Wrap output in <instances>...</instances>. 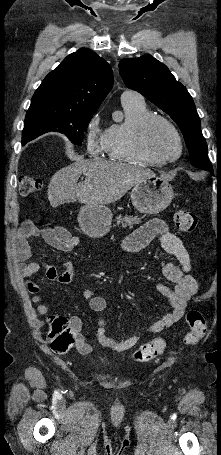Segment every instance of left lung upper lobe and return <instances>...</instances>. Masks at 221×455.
I'll return each instance as SVG.
<instances>
[{"label": "left lung upper lobe", "mask_w": 221, "mask_h": 455, "mask_svg": "<svg viewBox=\"0 0 221 455\" xmlns=\"http://www.w3.org/2000/svg\"><path fill=\"white\" fill-rule=\"evenodd\" d=\"M119 72L127 87L138 91L170 115L183 133L193 166L209 170L207 144L195 104L187 89L171 74L166 65L151 55L124 58Z\"/></svg>", "instance_id": "obj_1"}]
</instances>
